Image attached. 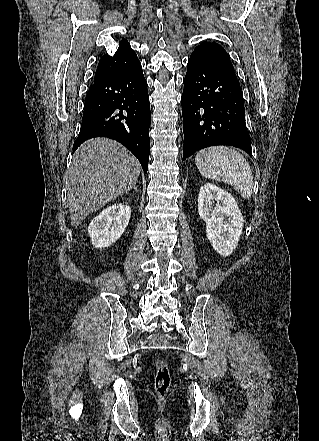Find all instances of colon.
Returning a JSON list of instances; mask_svg holds the SVG:
<instances>
[{"instance_id":"colon-1","label":"colon","mask_w":319,"mask_h":441,"mask_svg":"<svg viewBox=\"0 0 319 441\" xmlns=\"http://www.w3.org/2000/svg\"><path fill=\"white\" fill-rule=\"evenodd\" d=\"M156 377L155 387L160 395H164L170 386V372L168 365L162 359H158L155 362Z\"/></svg>"}]
</instances>
